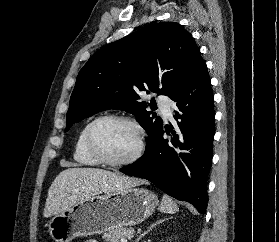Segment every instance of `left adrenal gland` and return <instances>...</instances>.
I'll list each match as a JSON object with an SVG mask.
<instances>
[{
  "label": "left adrenal gland",
  "mask_w": 279,
  "mask_h": 242,
  "mask_svg": "<svg viewBox=\"0 0 279 242\" xmlns=\"http://www.w3.org/2000/svg\"><path fill=\"white\" fill-rule=\"evenodd\" d=\"M166 220H168V218L162 219V220L157 221L156 223H153L146 231H144L142 234L139 235V237L136 239L135 242H139V240H140L144 235H146L149 231H151L156 225H158V224H160V223H162V222H164V221H166Z\"/></svg>",
  "instance_id": "1"
}]
</instances>
